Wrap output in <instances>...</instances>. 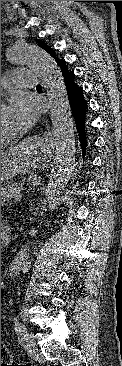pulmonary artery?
Returning a JSON list of instances; mask_svg holds the SVG:
<instances>
[{"label":"pulmonary artery","instance_id":"pulmonary-artery-1","mask_svg":"<svg viewBox=\"0 0 122 366\" xmlns=\"http://www.w3.org/2000/svg\"><path fill=\"white\" fill-rule=\"evenodd\" d=\"M38 77V73L33 70H11L1 79V87L13 84L24 88H36Z\"/></svg>","mask_w":122,"mask_h":366}]
</instances>
